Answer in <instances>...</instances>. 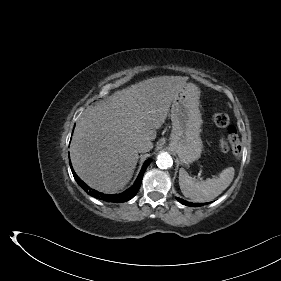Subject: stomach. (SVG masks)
I'll return each instance as SVG.
<instances>
[{"label":"stomach","mask_w":281,"mask_h":281,"mask_svg":"<svg viewBox=\"0 0 281 281\" xmlns=\"http://www.w3.org/2000/svg\"><path fill=\"white\" fill-rule=\"evenodd\" d=\"M199 98V88L193 83H185L172 101L169 146L185 165L198 160L203 149L200 138L202 117Z\"/></svg>","instance_id":"1"}]
</instances>
